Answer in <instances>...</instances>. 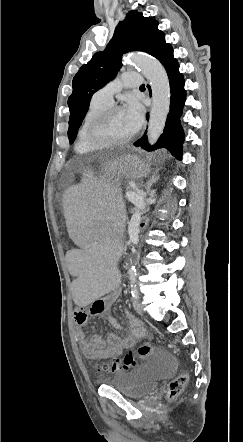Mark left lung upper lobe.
I'll return each mask as SVG.
<instances>
[{
    "label": "left lung upper lobe",
    "mask_w": 243,
    "mask_h": 442,
    "mask_svg": "<svg viewBox=\"0 0 243 442\" xmlns=\"http://www.w3.org/2000/svg\"><path fill=\"white\" fill-rule=\"evenodd\" d=\"M163 39L165 34L158 30V22L152 17H144L137 11H130L126 15L118 24L106 48L95 53L73 78V91L68 98L70 143L76 138L92 95L112 80L122 66L123 53L143 51L153 56Z\"/></svg>",
    "instance_id": "5c2ea615"
}]
</instances>
